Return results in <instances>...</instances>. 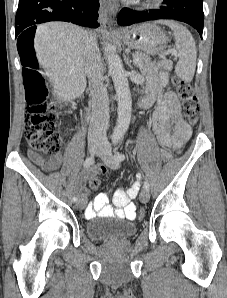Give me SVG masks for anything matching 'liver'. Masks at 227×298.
<instances>
[{
  "instance_id": "1",
  "label": "liver",
  "mask_w": 227,
  "mask_h": 298,
  "mask_svg": "<svg viewBox=\"0 0 227 298\" xmlns=\"http://www.w3.org/2000/svg\"><path fill=\"white\" fill-rule=\"evenodd\" d=\"M89 33L76 25L49 22L37 27L34 48L59 102L81 96L86 88L84 50Z\"/></svg>"
}]
</instances>
